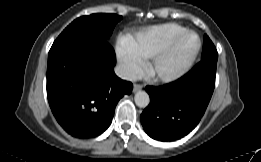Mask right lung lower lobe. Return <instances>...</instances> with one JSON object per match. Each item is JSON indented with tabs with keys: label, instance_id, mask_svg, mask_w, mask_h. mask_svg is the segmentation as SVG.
<instances>
[{
	"label": "right lung lower lobe",
	"instance_id": "right-lung-lower-lobe-1",
	"mask_svg": "<svg viewBox=\"0 0 261 162\" xmlns=\"http://www.w3.org/2000/svg\"><path fill=\"white\" fill-rule=\"evenodd\" d=\"M115 52L102 38L53 43L47 97L57 122L71 136L92 138L111 124L115 107L133 85L114 73Z\"/></svg>",
	"mask_w": 261,
	"mask_h": 162
}]
</instances>
